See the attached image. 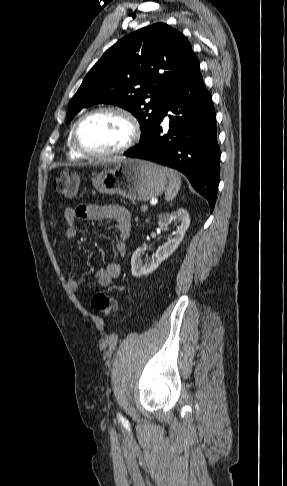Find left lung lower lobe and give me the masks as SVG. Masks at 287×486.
<instances>
[{
  "label": "left lung lower lobe",
  "mask_w": 287,
  "mask_h": 486,
  "mask_svg": "<svg viewBox=\"0 0 287 486\" xmlns=\"http://www.w3.org/2000/svg\"><path fill=\"white\" fill-rule=\"evenodd\" d=\"M169 129L161 123L167 114ZM124 156L150 160L179 170L203 195L213 211L219 184L220 149L212 97L197 67L169 91L163 110L138 146Z\"/></svg>",
  "instance_id": "0a47b994"
}]
</instances>
